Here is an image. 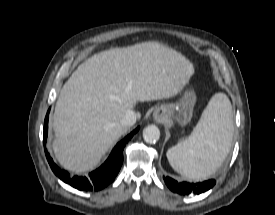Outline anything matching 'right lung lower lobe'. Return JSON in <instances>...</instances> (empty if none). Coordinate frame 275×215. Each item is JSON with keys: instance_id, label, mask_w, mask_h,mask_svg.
<instances>
[{"instance_id": "98d812e1", "label": "right lung lower lobe", "mask_w": 275, "mask_h": 215, "mask_svg": "<svg viewBox=\"0 0 275 215\" xmlns=\"http://www.w3.org/2000/svg\"><path fill=\"white\" fill-rule=\"evenodd\" d=\"M48 114L47 112L45 123H44V142L47 139V129H48ZM139 130V127L136 128L133 132L127 135L123 140H121L111 152L109 158L106 162L100 166L98 169L94 170L89 174V177L82 176H70V174L61 170L46 152L47 160L50 164L53 172L58 176L63 182L70 184L72 187L78 190L92 191V190H101L110 184L118 174L122 162H123V149L126 143L132 138V136Z\"/></svg>"}]
</instances>
